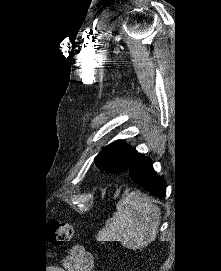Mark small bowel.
Returning <instances> with one entry per match:
<instances>
[{
	"label": "small bowel",
	"mask_w": 221,
	"mask_h": 271,
	"mask_svg": "<svg viewBox=\"0 0 221 271\" xmlns=\"http://www.w3.org/2000/svg\"><path fill=\"white\" fill-rule=\"evenodd\" d=\"M63 265L66 271H93L94 258L83 246L75 245L67 251Z\"/></svg>",
	"instance_id": "obj_1"
}]
</instances>
